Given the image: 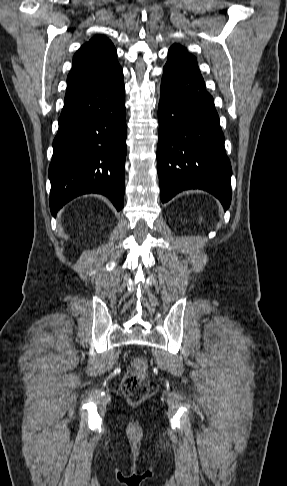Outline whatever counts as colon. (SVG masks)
Here are the masks:
<instances>
[{
    "label": "colon",
    "instance_id": "1",
    "mask_svg": "<svg viewBox=\"0 0 287 486\" xmlns=\"http://www.w3.org/2000/svg\"><path fill=\"white\" fill-rule=\"evenodd\" d=\"M147 369L148 364L141 357L135 358L128 367L122 381V390L132 402L141 401L149 391Z\"/></svg>",
    "mask_w": 287,
    "mask_h": 486
}]
</instances>
